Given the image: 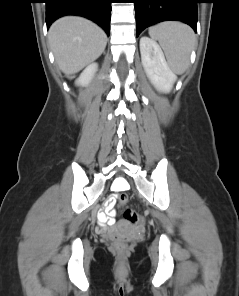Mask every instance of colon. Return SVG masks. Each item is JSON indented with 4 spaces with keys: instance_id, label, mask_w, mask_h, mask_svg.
Wrapping results in <instances>:
<instances>
[{
    "instance_id": "colon-1",
    "label": "colon",
    "mask_w": 239,
    "mask_h": 296,
    "mask_svg": "<svg viewBox=\"0 0 239 296\" xmlns=\"http://www.w3.org/2000/svg\"><path fill=\"white\" fill-rule=\"evenodd\" d=\"M127 196L126 195H120L118 197V204L122 205L126 202ZM124 217L125 219L130 222L133 225H138L142 223L143 217L140 213L136 212L132 209H126L124 211ZM129 238L123 237V236H114L112 239V249L117 253H124L127 250V244H128Z\"/></svg>"
}]
</instances>
